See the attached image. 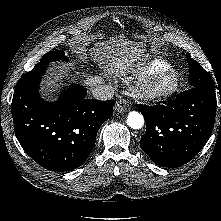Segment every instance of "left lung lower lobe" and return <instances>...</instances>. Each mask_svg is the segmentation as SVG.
Wrapping results in <instances>:
<instances>
[{
	"mask_svg": "<svg viewBox=\"0 0 221 221\" xmlns=\"http://www.w3.org/2000/svg\"><path fill=\"white\" fill-rule=\"evenodd\" d=\"M216 106V94L201 87H192L167 105H139L147 124L141 148L160 166L188 163L211 135Z\"/></svg>",
	"mask_w": 221,
	"mask_h": 221,
	"instance_id": "obj_1",
	"label": "left lung lower lobe"
}]
</instances>
